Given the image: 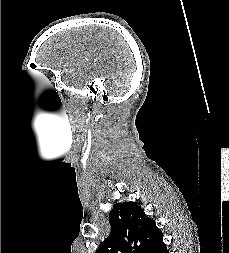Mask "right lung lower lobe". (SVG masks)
<instances>
[{
    "label": "right lung lower lobe",
    "instance_id": "98d812e1",
    "mask_svg": "<svg viewBox=\"0 0 229 253\" xmlns=\"http://www.w3.org/2000/svg\"><path fill=\"white\" fill-rule=\"evenodd\" d=\"M150 253H169L167 246L163 243V239L152 249Z\"/></svg>",
    "mask_w": 229,
    "mask_h": 253
}]
</instances>
